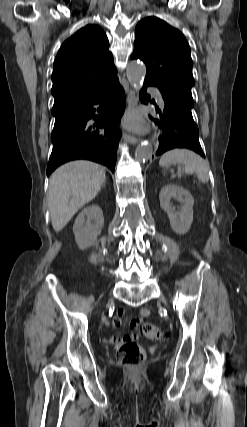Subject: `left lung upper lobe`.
<instances>
[{
  "mask_svg": "<svg viewBox=\"0 0 247 427\" xmlns=\"http://www.w3.org/2000/svg\"><path fill=\"white\" fill-rule=\"evenodd\" d=\"M131 59L146 64L144 83L156 86L164 97L193 108V62L189 44L179 30L154 16L142 19L135 29Z\"/></svg>",
  "mask_w": 247,
  "mask_h": 427,
  "instance_id": "obj_1",
  "label": "left lung upper lobe"
}]
</instances>
